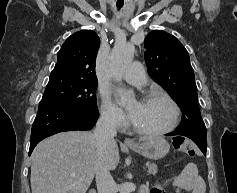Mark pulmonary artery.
I'll list each match as a JSON object with an SVG mask.
<instances>
[{"instance_id":"pulmonary-artery-1","label":"pulmonary artery","mask_w":237,"mask_h":193,"mask_svg":"<svg viewBox=\"0 0 237 193\" xmlns=\"http://www.w3.org/2000/svg\"><path fill=\"white\" fill-rule=\"evenodd\" d=\"M123 78L133 86L143 87L146 84V74L139 62H133L122 74Z\"/></svg>"}]
</instances>
